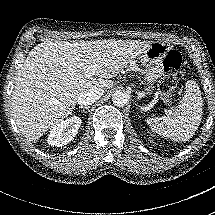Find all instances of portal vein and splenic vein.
Here are the masks:
<instances>
[{
    "mask_svg": "<svg viewBox=\"0 0 215 215\" xmlns=\"http://www.w3.org/2000/svg\"><path fill=\"white\" fill-rule=\"evenodd\" d=\"M88 71H89V73H90L91 75H94L95 72H96V70H95V68H94L93 66H90V67L88 68Z\"/></svg>",
    "mask_w": 215,
    "mask_h": 215,
    "instance_id": "18ae733b",
    "label": "portal vein and splenic vein"
}]
</instances>
